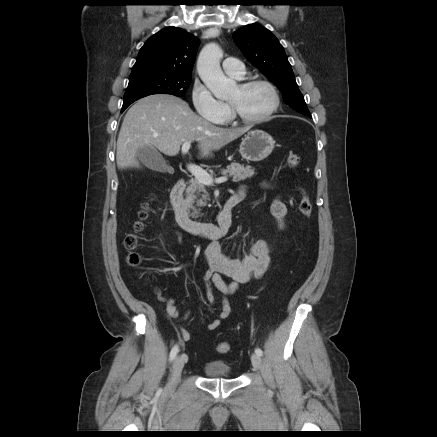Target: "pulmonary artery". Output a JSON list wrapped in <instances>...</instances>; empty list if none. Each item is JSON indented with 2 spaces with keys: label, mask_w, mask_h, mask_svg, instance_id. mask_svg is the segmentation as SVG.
Returning a JSON list of instances; mask_svg holds the SVG:
<instances>
[{
  "label": "pulmonary artery",
  "mask_w": 437,
  "mask_h": 437,
  "mask_svg": "<svg viewBox=\"0 0 437 437\" xmlns=\"http://www.w3.org/2000/svg\"><path fill=\"white\" fill-rule=\"evenodd\" d=\"M224 72L234 78L241 79L245 74L243 63L233 57L226 58L222 63Z\"/></svg>",
  "instance_id": "pulmonary-artery-1"
}]
</instances>
